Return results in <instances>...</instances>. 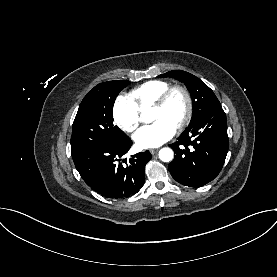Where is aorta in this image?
I'll list each match as a JSON object with an SVG mask.
<instances>
[{
	"label": "aorta",
	"instance_id": "obj_1",
	"mask_svg": "<svg viewBox=\"0 0 277 277\" xmlns=\"http://www.w3.org/2000/svg\"><path fill=\"white\" fill-rule=\"evenodd\" d=\"M141 117L144 122L149 123L152 121V118L146 112H143L141 114ZM173 157H174V153L170 148L165 147L159 151V158L163 162H169L173 159Z\"/></svg>",
	"mask_w": 277,
	"mask_h": 277
}]
</instances>
